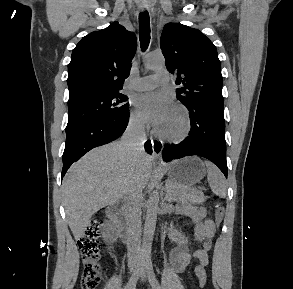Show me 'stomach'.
<instances>
[{
    "label": "stomach",
    "mask_w": 293,
    "mask_h": 289,
    "mask_svg": "<svg viewBox=\"0 0 293 289\" xmlns=\"http://www.w3.org/2000/svg\"><path fill=\"white\" fill-rule=\"evenodd\" d=\"M166 168L170 180L183 186H191L200 182L206 174L203 161L195 156L174 161Z\"/></svg>",
    "instance_id": "obj_1"
}]
</instances>
